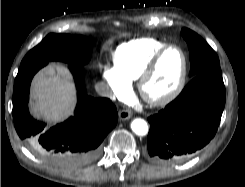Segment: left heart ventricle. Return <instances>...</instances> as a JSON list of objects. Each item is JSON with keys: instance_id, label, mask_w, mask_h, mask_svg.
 Returning <instances> with one entry per match:
<instances>
[{"instance_id": "obj_1", "label": "left heart ventricle", "mask_w": 245, "mask_h": 187, "mask_svg": "<svg viewBox=\"0 0 245 187\" xmlns=\"http://www.w3.org/2000/svg\"><path fill=\"white\" fill-rule=\"evenodd\" d=\"M182 68V58L178 50L171 49L159 62L156 73L147 84V93L160 97L170 91L177 82Z\"/></svg>"}]
</instances>
